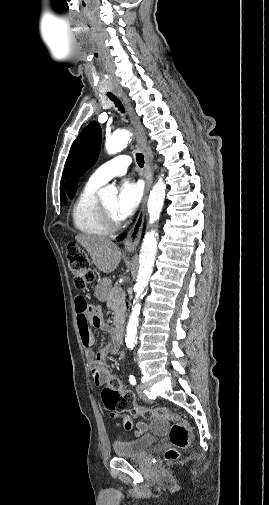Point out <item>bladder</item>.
<instances>
[{"label":"bladder","instance_id":"bladder-1","mask_svg":"<svg viewBox=\"0 0 269 505\" xmlns=\"http://www.w3.org/2000/svg\"><path fill=\"white\" fill-rule=\"evenodd\" d=\"M156 442L155 436L144 434L130 440L114 442L113 452L118 458H142Z\"/></svg>","mask_w":269,"mask_h":505}]
</instances>
